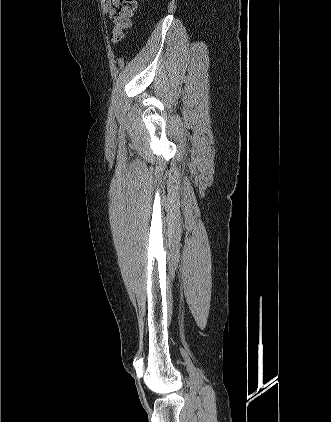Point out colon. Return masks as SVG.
Wrapping results in <instances>:
<instances>
[{"mask_svg": "<svg viewBox=\"0 0 331 422\" xmlns=\"http://www.w3.org/2000/svg\"><path fill=\"white\" fill-rule=\"evenodd\" d=\"M136 7V0H120V5L114 18V28L110 33V38L113 43H120L123 41L125 30L131 25V18Z\"/></svg>", "mask_w": 331, "mask_h": 422, "instance_id": "colon-1", "label": "colon"}]
</instances>
